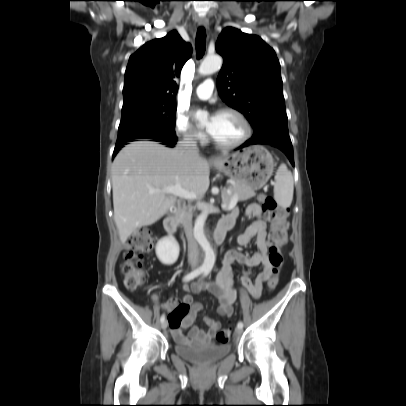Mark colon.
I'll return each mask as SVG.
<instances>
[{"label":"colon","mask_w":406,"mask_h":406,"mask_svg":"<svg viewBox=\"0 0 406 406\" xmlns=\"http://www.w3.org/2000/svg\"><path fill=\"white\" fill-rule=\"evenodd\" d=\"M258 200L263 207L267 220L272 225L269 261L273 267V274L268 281V288L273 290L278 285V276L283 264L282 247L286 244L288 237V212L285 208L278 207L276 201L270 195L260 194ZM153 245V239L146 229H138L128 237L127 250L120 265L123 283L128 290H135L146 281L148 273L142 264L141 258L145 253L152 250ZM187 313V308L177 307L169 316L170 324L173 327L178 326L180 319ZM230 335L231 328L221 329L216 334V340L219 343H225Z\"/></svg>","instance_id":"5ec220e1"}]
</instances>
